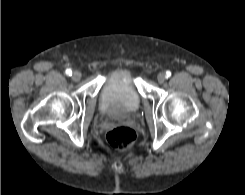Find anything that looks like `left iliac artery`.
I'll return each instance as SVG.
<instances>
[{"instance_id": "left-iliac-artery-1", "label": "left iliac artery", "mask_w": 245, "mask_h": 195, "mask_svg": "<svg viewBox=\"0 0 245 195\" xmlns=\"http://www.w3.org/2000/svg\"><path fill=\"white\" fill-rule=\"evenodd\" d=\"M171 76V72L170 71H166V77L169 78Z\"/></svg>"}]
</instances>
